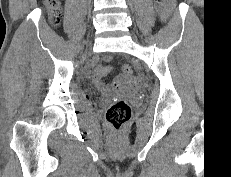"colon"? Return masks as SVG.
Instances as JSON below:
<instances>
[{
  "label": "colon",
  "instance_id": "1",
  "mask_svg": "<svg viewBox=\"0 0 231 177\" xmlns=\"http://www.w3.org/2000/svg\"><path fill=\"white\" fill-rule=\"evenodd\" d=\"M171 0H156L160 13L164 14ZM45 8L48 12L49 19L52 24H58L60 21L61 0H44ZM121 74L128 78H132V69L128 64H123ZM131 117V107L127 101L115 100L106 111V120L108 124L115 130L121 129Z\"/></svg>",
  "mask_w": 231,
  "mask_h": 177
}]
</instances>
